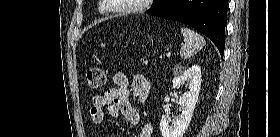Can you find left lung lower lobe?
Masks as SVG:
<instances>
[{
  "instance_id": "left-lung-lower-lobe-1",
  "label": "left lung lower lobe",
  "mask_w": 280,
  "mask_h": 137,
  "mask_svg": "<svg viewBox=\"0 0 280 137\" xmlns=\"http://www.w3.org/2000/svg\"><path fill=\"white\" fill-rule=\"evenodd\" d=\"M228 0H162L147 14L185 23L206 35L223 57Z\"/></svg>"
}]
</instances>
